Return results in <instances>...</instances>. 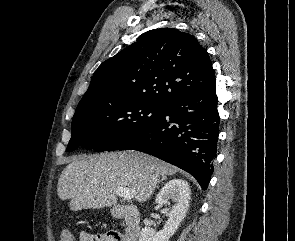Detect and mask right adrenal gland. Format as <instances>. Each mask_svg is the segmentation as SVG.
Segmentation results:
<instances>
[{
	"label": "right adrenal gland",
	"instance_id": "2a0ac1e0",
	"mask_svg": "<svg viewBox=\"0 0 295 241\" xmlns=\"http://www.w3.org/2000/svg\"><path fill=\"white\" fill-rule=\"evenodd\" d=\"M166 179V176H163L162 178H161V180H159V182L156 184V187L155 188H158V184L160 183V182H162L163 180H165Z\"/></svg>",
	"mask_w": 295,
	"mask_h": 241
}]
</instances>
